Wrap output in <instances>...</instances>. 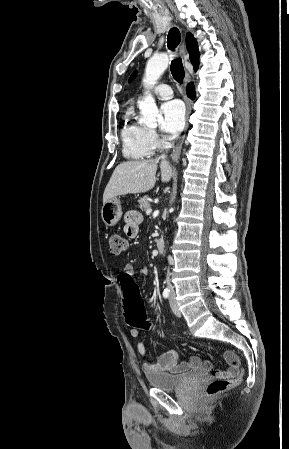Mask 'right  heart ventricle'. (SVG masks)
Here are the masks:
<instances>
[{"label":"right heart ventricle","instance_id":"obj_1","mask_svg":"<svg viewBox=\"0 0 289 449\" xmlns=\"http://www.w3.org/2000/svg\"><path fill=\"white\" fill-rule=\"evenodd\" d=\"M121 137L123 153L127 158L143 159L152 154L153 147L147 137V128L134 119L131 111L126 114Z\"/></svg>","mask_w":289,"mask_h":449}]
</instances>
